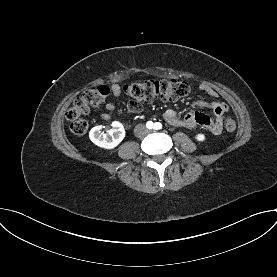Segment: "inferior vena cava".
I'll list each match as a JSON object with an SVG mask.
<instances>
[{"label":"inferior vena cava","mask_w":277,"mask_h":277,"mask_svg":"<svg viewBox=\"0 0 277 277\" xmlns=\"http://www.w3.org/2000/svg\"><path fill=\"white\" fill-rule=\"evenodd\" d=\"M134 134L136 137H144L148 134V129L143 124H138L134 128Z\"/></svg>","instance_id":"1"}]
</instances>
